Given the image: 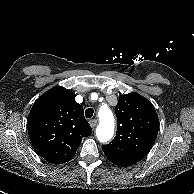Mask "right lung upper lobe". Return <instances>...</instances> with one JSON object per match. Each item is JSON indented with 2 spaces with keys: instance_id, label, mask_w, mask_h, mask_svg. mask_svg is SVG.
Instances as JSON below:
<instances>
[{
  "instance_id": "obj_1",
  "label": "right lung upper lobe",
  "mask_w": 194,
  "mask_h": 194,
  "mask_svg": "<svg viewBox=\"0 0 194 194\" xmlns=\"http://www.w3.org/2000/svg\"><path fill=\"white\" fill-rule=\"evenodd\" d=\"M27 128L36 153L52 164L72 159L82 137L92 133L75 94L61 86L53 87L35 101Z\"/></svg>"
}]
</instances>
